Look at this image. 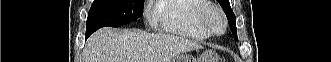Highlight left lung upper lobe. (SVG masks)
Returning <instances> with one entry per match:
<instances>
[{"label":"left lung upper lobe","mask_w":331,"mask_h":62,"mask_svg":"<svg viewBox=\"0 0 331 62\" xmlns=\"http://www.w3.org/2000/svg\"><path fill=\"white\" fill-rule=\"evenodd\" d=\"M222 9L224 10L226 16H227V19L229 21V26L231 28V31H232V34L234 35V39L236 40L237 38V30H236V17L230 7V4H229V0H217Z\"/></svg>","instance_id":"1"}]
</instances>
